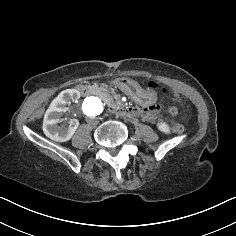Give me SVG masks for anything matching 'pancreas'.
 <instances>
[{
    "instance_id": "obj_1",
    "label": "pancreas",
    "mask_w": 236,
    "mask_h": 236,
    "mask_svg": "<svg viewBox=\"0 0 236 236\" xmlns=\"http://www.w3.org/2000/svg\"><path fill=\"white\" fill-rule=\"evenodd\" d=\"M97 96H99L106 103L111 98L109 91L104 85L98 88Z\"/></svg>"
}]
</instances>
